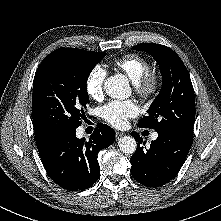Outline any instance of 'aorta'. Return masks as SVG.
Listing matches in <instances>:
<instances>
[{"mask_svg":"<svg viewBox=\"0 0 221 221\" xmlns=\"http://www.w3.org/2000/svg\"><path fill=\"white\" fill-rule=\"evenodd\" d=\"M106 94L116 99H126L131 95L128 79L122 74H116L106 79L104 84ZM119 149L125 154H133L136 151V140L131 136H124L119 140Z\"/></svg>","mask_w":221,"mask_h":221,"instance_id":"1","label":"aorta"}]
</instances>
